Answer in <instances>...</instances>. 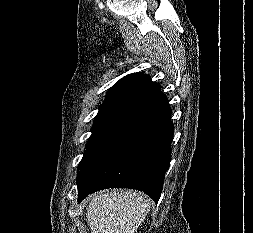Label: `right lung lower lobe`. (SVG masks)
<instances>
[{"mask_svg": "<svg viewBox=\"0 0 253 233\" xmlns=\"http://www.w3.org/2000/svg\"><path fill=\"white\" fill-rule=\"evenodd\" d=\"M173 131L171 109L160 88L138 102L81 164L78 202L106 188L141 190L158 202Z\"/></svg>", "mask_w": 253, "mask_h": 233, "instance_id": "1", "label": "right lung lower lobe"}]
</instances>
